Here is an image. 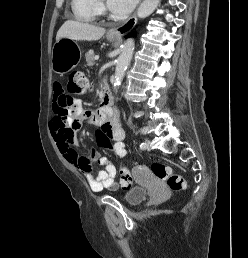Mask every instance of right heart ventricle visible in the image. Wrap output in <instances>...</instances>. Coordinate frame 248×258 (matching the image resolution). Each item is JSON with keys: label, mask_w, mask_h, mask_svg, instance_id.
Instances as JSON below:
<instances>
[{"label": "right heart ventricle", "mask_w": 248, "mask_h": 258, "mask_svg": "<svg viewBox=\"0 0 248 258\" xmlns=\"http://www.w3.org/2000/svg\"><path fill=\"white\" fill-rule=\"evenodd\" d=\"M74 18L80 22L93 23L100 14L98 0H71Z\"/></svg>", "instance_id": "right-heart-ventricle-1"}]
</instances>
